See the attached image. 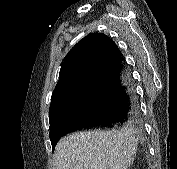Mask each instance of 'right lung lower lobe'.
I'll list each match as a JSON object with an SVG mask.
<instances>
[{"mask_svg": "<svg viewBox=\"0 0 177 169\" xmlns=\"http://www.w3.org/2000/svg\"><path fill=\"white\" fill-rule=\"evenodd\" d=\"M88 82L90 100L79 113L59 122L51 136L53 149L69 132L82 128H110L138 119L139 106L132 76L121 53Z\"/></svg>", "mask_w": 177, "mask_h": 169, "instance_id": "right-lung-lower-lobe-1", "label": "right lung lower lobe"}]
</instances>
